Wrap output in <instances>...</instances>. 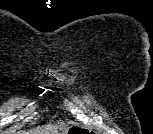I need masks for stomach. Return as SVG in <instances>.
Segmentation results:
<instances>
[{
  "instance_id": "1",
  "label": "stomach",
  "mask_w": 153,
  "mask_h": 134,
  "mask_svg": "<svg viewBox=\"0 0 153 134\" xmlns=\"http://www.w3.org/2000/svg\"><path fill=\"white\" fill-rule=\"evenodd\" d=\"M87 132H90V130L80 125H74L68 129L67 134H84Z\"/></svg>"
}]
</instances>
